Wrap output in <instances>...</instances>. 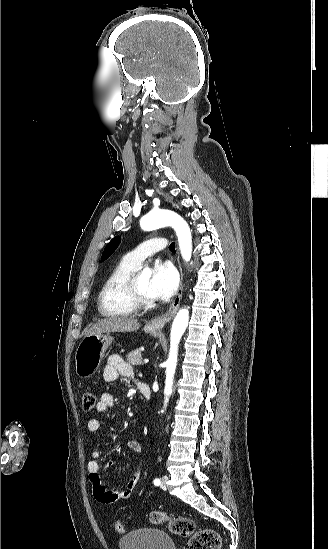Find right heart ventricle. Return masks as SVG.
<instances>
[{"label": "right heart ventricle", "instance_id": "e07e8e85", "mask_svg": "<svg viewBox=\"0 0 328 549\" xmlns=\"http://www.w3.org/2000/svg\"><path fill=\"white\" fill-rule=\"evenodd\" d=\"M139 264L125 254L108 275L98 294V311L101 319H134L133 312L120 308L126 304L121 293L126 278L136 271Z\"/></svg>", "mask_w": 328, "mask_h": 549}]
</instances>
